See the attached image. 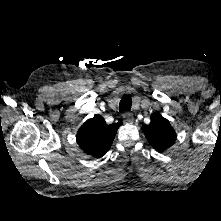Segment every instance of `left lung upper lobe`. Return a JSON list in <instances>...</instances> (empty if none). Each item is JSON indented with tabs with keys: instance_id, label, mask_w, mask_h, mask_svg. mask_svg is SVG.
Masks as SVG:
<instances>
[{
	"instance_id": "5c2ea615",
	"label": "left lung upper lobe",
	"mask_w": 221,
	"mask_h": 221,
	"mask_svg": "<svg viewBox=\"0 0 221 221\" xmlns=\"http://www.w3.org/2000/svg\"><path fill=\"white\" fill-rule=\"evenodd\" d=\"M141 129L150 145L160 152L166 150L176 140V133L170 122L159 113L152 114L150 124H143Z\"/></svg>"
}]
</instances>
